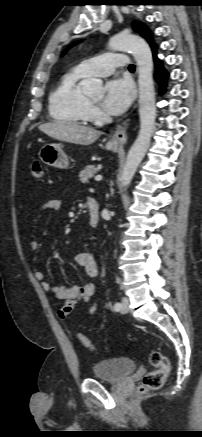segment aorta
<instances>
[{"instance_id":"762f6f07","label":"aorta","mask_w":202,"mask_h":437,"mask_svg":"<svg viewBox=\"0 0 202 437\" xmlns=\"http://www.w3.org/2000/svg\"><path fill=\"white\" fill-rule=\"evenodd\" d=\"M112 50L129 51L137 63L139 85L140 130L137 139L130 148L122 171L123 186H128L147 152L155 124V90L153 82V58L149 45L137 35L121 32L109 41ZM82 90L87 95H101L102 82L87 79L81 82Z\"/></svg>"}]
</instances>
